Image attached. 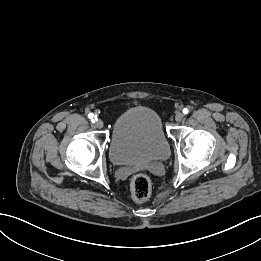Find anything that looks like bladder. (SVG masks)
Wrapping results in <instances>:
<instances>
[{"instance_id":"bladder-1","label":"bladder","mask_w":261,"mask_h":261,"mask_svg":"<svg viewBox=\"0 0 261 261\" xmlns=\"http://www.w3.org/2000/svg\"><path fill=\"white\" fill-rule=\"evenodd\" d=\"M108 153L118 166L166 159L170 143L160 116L143 106L124 111L113 124Z\"/></svg>"}]
</instances>
